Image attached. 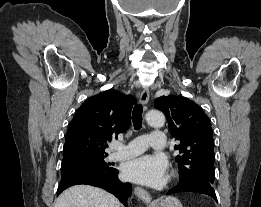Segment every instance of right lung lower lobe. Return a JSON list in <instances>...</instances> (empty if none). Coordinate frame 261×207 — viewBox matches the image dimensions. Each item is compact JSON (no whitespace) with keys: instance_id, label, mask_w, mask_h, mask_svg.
Wrapping results in <instances>:
<instances>
[{"instance_id":"98d812e1","label":"right lung lower lobe","mask_w":261,"mask_h":207,"mask_svg":"<svg viewBox=\"0 0 261 207\" xmlns=\"http://www.w3.org/2000/svg\"><path fill=\"white\" fill-rule=\"evenodd\" d=\"M77 184L103 188L114 194L126 207L127 199L132 193L131 184L121 182L118 179V170L110 167L106 170H84L62 175L57 196L66 188Z\"/></svg>"}]
</instances>
